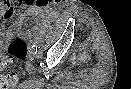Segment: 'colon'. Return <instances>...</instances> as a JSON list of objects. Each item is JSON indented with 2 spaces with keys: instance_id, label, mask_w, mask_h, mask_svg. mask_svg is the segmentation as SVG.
Returning a JSON list of instances; mask_svg holds the SVG:
<instances>
[{
  "instance_id": "obj_1",
  "label": "colon",
  "mask_w": 131,
  "mask_h": 89,
  "mask_svg": "<svg viewBox=\"0 0 131 89\" xmlns=\"http://www.w3.org/2000/svg\"><path fill=\"white\" fill-rule=\"evenodd\" d=\"M0 11H2L1 8ZM28 54V43L20 37L8 41L2 48H0V89L12 88L16 85L18 80L15 74H5L2 73V70L11 63L26 60Z\"/></svg>"
}]
</instances>
